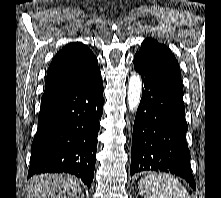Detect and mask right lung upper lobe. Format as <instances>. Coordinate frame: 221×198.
<instances>
[{
	"label": "right lung upper lobe",
	"instance_id": "1",
	"mask_svg": "<svg viewBox=\"0 0 221 198\" xmlns=\"http://www.w3.org/2000/svg\"><path fill=\"white\" fill-rule=\"evenodd\" d=\"M99 71L97 58L83 43L67 44L53 58L41 103L82 84Z\"/></svg>",
	"mask_w": 221,
	"mask_h": 198
}]
</instances>
